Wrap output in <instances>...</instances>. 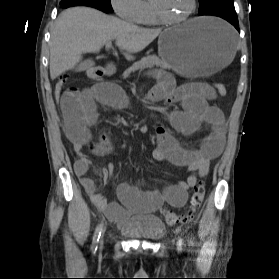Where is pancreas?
<instances>
[{"instance_id":"cf45deb5","label":"pancreas","mask_w":279,"mask_h":279,"mask_svg":"<svg viewBox=\"0 0 279 279\" xmlns=\"http://www.w3.org/2000/svg\"><path fill=\"white\" fill-rule=\"evenodd\" d=\"M154 65L162 67L164 69H170L171 66L164 60H161L159 57L155 55H149L147 57L142 58L140 61L134 63L132 67L127 69L123 73V78L129 77L130 73L137 70V69H142V68H147V67H153Z\"/></svg>"}]
</instances>
